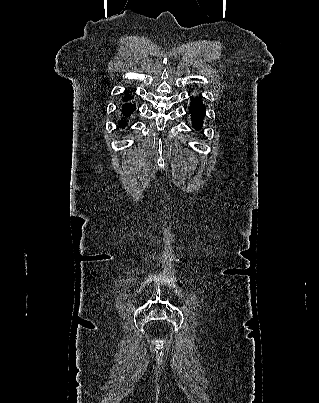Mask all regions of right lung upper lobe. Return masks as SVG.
<instances>
[{
  "label": "right lung upper lobe",
  "mask_w": 319,
  "mask_h": 403,
  "mask_svg": "<svg viewBox=\"0 0 319 403\" xmlns=\"http://www.w3.org/2000/svg\"><path fill=\"white\" fill-rule=\"evenodd\" d=\"M130 97H131V96H130L129 92H127V94H126L125 97L123 98V101L126 100V99H129Z\"/></svg>",
  "instance_id": "1"
}]
</instances>
